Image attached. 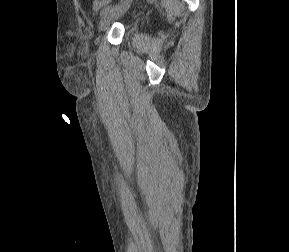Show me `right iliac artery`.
<instances>
[{
  "label": "right iliac artery",
  "instance_id": "right-iliac-artery-1",
  "mask_svg": "<svg viewBox=\"0 0 289 252\" xmlns=\"http://www.w3.org/2000/svg\"><path fill=\"white\" fill-rule=\"evenodd\" d=\"M115 6H107L105 8L102 9L100 16L103 17L105 14H107L108 12H110Z\"/></svg>",
  "mask_w": 289,
  "mask_h": 252
}]
</instances>
